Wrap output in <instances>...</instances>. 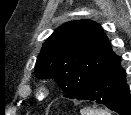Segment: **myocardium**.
Instances as JSON below:
<instances>
[{
  "label": "myocardium",
  "instance_id": "1",
  "mask_svg": "<svg viewBox=\"0 0 131 115\" xmlns=\"http://www.w3.org/2000/svg\"><path fill=\"white\" fill-rule=\"evenodd\" d=\"M37 93L46 96L48 93L47 86L45 84H40Z\"/></svg>",
  "mask_w": 131,
  "mask_h": 115
}]
</instances>
